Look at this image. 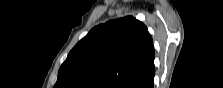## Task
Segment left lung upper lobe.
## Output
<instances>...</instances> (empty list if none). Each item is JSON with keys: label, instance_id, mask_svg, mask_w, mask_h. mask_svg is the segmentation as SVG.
I'll return each instance as SVG.
<instances>
[{"label": "left lung upper lobe", "instance_id": "1", "mask_svg": "<svg viewBox=\"0 0 223 88\" xmlns=\"http://www.w3.org/2000/svg\"><path fill=\"white\" fill-rule=\"evenodd\" d=\"M146 26L133 17L94 27L70 51L54 88H132L154 69Z\"/></svg>", "mask_w": 223, "mask_h": 88}]
</instances>
